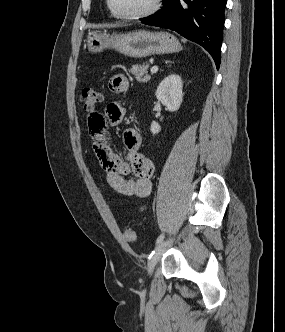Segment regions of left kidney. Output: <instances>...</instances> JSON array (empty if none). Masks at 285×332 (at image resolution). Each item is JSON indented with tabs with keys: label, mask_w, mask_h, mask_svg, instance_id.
Instances as JSON below:
<instances>
[{
	"label": "left kidney",
	"mask_w": 285,
	"mask_h": 332,
	"mask_svg": "<svg viewBox=\"0 0 285 332\" xmlns=\"http://www.w3.org/2000/svg\"><path fill=\"white\" fill-rule=\"evenodd\" d=\"M183 83L177 74H171L165 77L159 84L156 91V98L160 101L168 111L175 112L180 108L183 100ZM151 132L153 135L160 132V125L153 121L151 123Z\"/></svg>",
	"instance_id": "left-kidney-1"
}]
</instances>
